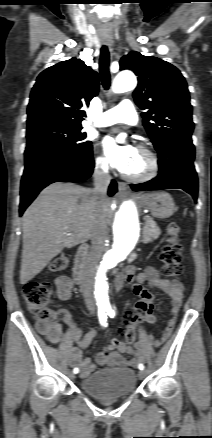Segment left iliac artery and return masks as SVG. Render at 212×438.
Returning a JSON list of instances; mask_svg holds the SVG:
<instances>
[{"label":"left iliac artery","mask_w":212,"mask_h":438,"mask_svg":"<svg viewBox=\"0 0 212 438\" xmlns=\"http://www.w3.org/2000/svg\"><path fill=\"white\" fill-rule=\"evenodd\" d=\"M105 310H106L107 314H108L111 318H113V317L115 316V311H114L111 307H107ZM138 368H139L140 370H143V369H144V365H143V364H139V365H138Z\"/></svg>","instance_id":"1"}]
</instances>
